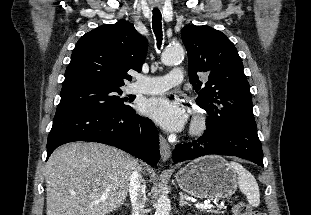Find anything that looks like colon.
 I'll use <instances>...</instances> for the list:
<instances>
[{"label": "colon", "instance_id": "5ec220e1", "mask_svg": "<svg viewBox=\"0 0 311 215\" xmlns=\"http://www.w3.org/2000/svg\"><path fill=\"white\" fill-rule=\"evenodd\" d=\"M234 215H266L261 211L254 210L246 203H238L234 207Z\"/></svg>", "mask_w": 311, "mask_h": 215}]
</instances>
